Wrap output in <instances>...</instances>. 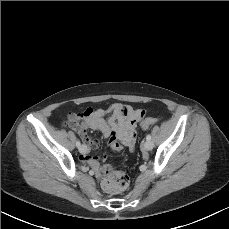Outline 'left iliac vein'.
<instances>
[{
    "label": "left iliac vein",
    "instance_id": "1",
    "mask_svg": "<svg viewBox=\"0 0 229 229\" xmlns=\"http://www.w3.org/2000/svg\"><path fill=\"white\" fill-rule=\"evenodd\" d=\"M144 148L146 150H152V148H153V142L151 140H146L144 142Z\"/></svg>",
    "mask_w": 229,
    "mask_h": 229
}]
</instances>
